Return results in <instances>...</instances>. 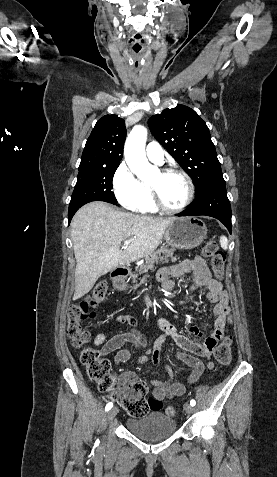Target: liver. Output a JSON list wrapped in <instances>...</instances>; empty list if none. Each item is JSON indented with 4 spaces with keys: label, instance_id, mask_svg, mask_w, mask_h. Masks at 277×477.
Returning <instances> with one entry per match:
<instances>
[{
    "label": "liver",
    "instance_id": "obj_1",
    "mask_svg": "<svg viewBox=\"0 0 277 477\" xmlns=\"http://www.w3.org/2000/svg\"><path fill=\"white\" fill-rule=\"evenodd\" d=\"M174 219L122 212L104 202L80 208L70 230L76 258L73 300L87 294L100 276L152 254ZM130 239V245L120 250L121 243Z\"/></svg>",
    "mask_w": 277,
    "mask_h": 477
}]
</instances>
